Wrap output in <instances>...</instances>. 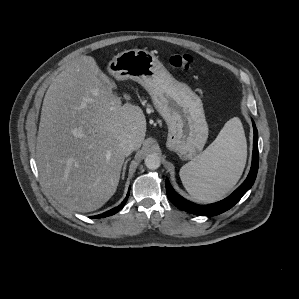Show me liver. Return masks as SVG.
<instances>
[{
	"instance_id": "obj_1",
	"label": "liver",
	"mask_w": 299,
	"mask_h": 299,
	"mask_svg": "<svg viewBox=\"0 0 299 299\" xmlns=\"http://www.w3.org/2000/svg\"><path fill=\"white\" fill-rule=\"evenodd\" d=\"M113 82L91 56L73 60L50 84L43 101L36 162L44 187L77 212L102 207L116 192L125 155L124 140L139 149L146 118L136 105L122 104Z\"/></svg>"
}]
</instances>
